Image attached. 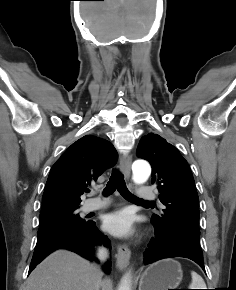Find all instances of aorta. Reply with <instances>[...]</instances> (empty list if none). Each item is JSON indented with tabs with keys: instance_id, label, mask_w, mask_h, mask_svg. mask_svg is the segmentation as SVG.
<instances>
[{
	"instance_id": "1",
	"label": "aorta",
	"mask_w": 236,
	"mask_h": 290,
	"mask_svg": "<svg viewBox=\"0 0 236 290\" xmlns=\"http://www.w3.org/2000/svg\"><path fill=\"white\" fill-rule=\"evenodd\" d=\"M133 181L136 184H143L147 181L151 174V168L148 163L144 161H137L132 166ZM118 290H131L130 273H127L121 281Z\"/></svg>"
}]
</instances>
